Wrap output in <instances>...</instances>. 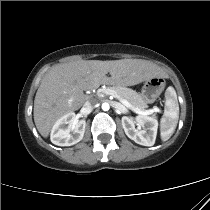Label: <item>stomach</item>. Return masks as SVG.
Masks as SVG:
<instances>
[{
  "label": "stomach",
  "mask_w": 210,
  "mask_h": 210,
  "mask_svg": "<svg viewBox=\"0 0 210 210\" xmlns=\"http://www.w3.org/2000/svg\"><path fill=\"white\" fill-rule=\"evenodd\" d=\"M165 80L162 77H153L145 81L141 96L146 103H153L165 88Z\"/></svg>",
  "instance_id": "obj_1"
}]
</instances>
